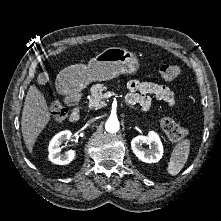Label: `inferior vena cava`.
Masks as SVG:
<instances>
[{
	"instance_id": "inferior-vena-cava-1",
	"label": "inferior vena cava",
	"mask_w": 221,
	"mask_h": 221,
	"mask_svg": "<svg viewBox=\"0 0 221 221\" xmlns=\"http://www.w3.org/2000/svg\"><path fill=\"white\" fill-rule=\"evenodd\" d=\"M94 120H95V118H92L88 121V123H92V122H94Z\"/></svg>"
}]
</instances>
